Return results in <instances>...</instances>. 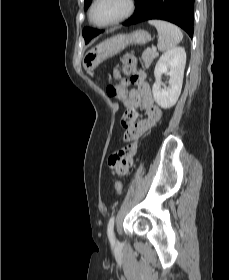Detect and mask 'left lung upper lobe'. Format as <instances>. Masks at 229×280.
Here are the masks:
<instances>
[{"instance_id":"1","label":"left lung upper lobe","mask_w":229,"mask_h":280,"mask_svg":"<svg viewBox=\"0 0 229 280\" xmlns=\"http://www.w3.org/2000/svg\"><path fill=\"white\" fill-rule=\"evenodd\" d=\"M84 2H85L84 8L87 9L91 0H84ZM99 33H100V31H98V30H95V29H92V28H84L83 29V37L85 39V43H88L92 37L98 35Z\"/></svg>"}]
</instances>
